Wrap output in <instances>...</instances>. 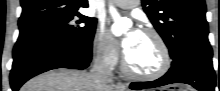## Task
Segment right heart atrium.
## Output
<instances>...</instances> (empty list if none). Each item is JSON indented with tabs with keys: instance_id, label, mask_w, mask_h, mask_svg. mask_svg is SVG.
Instances as JSON below:
<instances>
[{
	"instance_id": "d8ad5b80",
	"label": "right heart atrium",
	"mask_w": 220,
	"mask_h": 91,
	"mask_svg": "<svg viewBox=\"0 0 220 91\" xmlns=\"http://www.w3.org/2000/svg\"><path fill=\"white\" fill-rule=\"evenodd\" d=\"M91 48L98 61L105 67H114L119 60V48L115 39L109 32L98 27L91 41Z\"/></svg>"
}]
</instances>
